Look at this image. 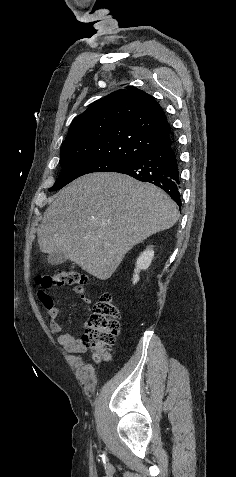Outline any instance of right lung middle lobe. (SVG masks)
I'll return each mask as SVG.
<instances>
[{
    "mask_svg": "<svg viewBox=\"0 0 236 477\" xmlns=\"http://www.w3.org/2000/svg\"><path fill=\"white\" fill-rule=\"evenodd\" d=\"M127 160L111 157L92 156L60 161L62 171L50 191L63 188L76 178L93 172H114L127 164Z\"/></svg>",
    "mask_w": 236,
    "mask_h": 477,
    "instance_id": "obj_1",
    "label": "right lung middle lobe"
}]
</instances>
